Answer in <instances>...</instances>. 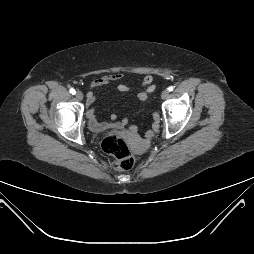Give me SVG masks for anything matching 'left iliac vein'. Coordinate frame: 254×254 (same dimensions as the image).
<instances>
[{
	"mask_svg": "<svg viewBox=\"0 0 254 254\" xmlns=\"http://www.w3.org/2000/svg\"><path fill=\"white\" fill-rule=\"evenodd\" d=\"M168 96H169V91L168 90L162 91V93H161V98L162 99H166V98H168Z\"/></svg>",
	"mask_w": 254,
	"mask_h": 254,
	"instance_id": "4c4485c4",
	"label": "left iliac vein"
}]
</instances>
